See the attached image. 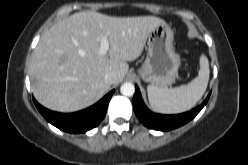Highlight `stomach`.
Returning a JSON list of instances; mask_svg holds the SVG:
<instances>
[{
  "instance_id": "stomach-1",
  "label": "stomach",
  "mask_w": 248,
  "mask_h": 165,
  "mask_svg": "<svg viewBox=\"0 0 248 165\" xmlns=\"http://www.w3.org/2000/svg\"><path fill=\"white\" fill-rule=\"evenodd\" d=\"M173 31L167 24L158 25L148 35V55L138 69L145 82L165 88L175 82L179 60L173 48Z\"/></svg>"
}]
</instances>
